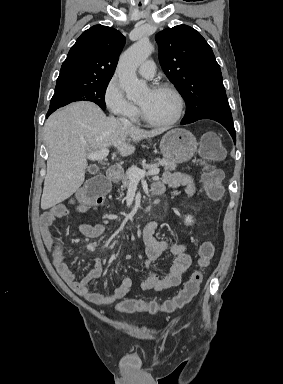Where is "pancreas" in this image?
Returning <instances> with one entry per match:
<instances>
[{
	"mask_svg": "<svg viewBox=\"0 0 283 384\" xmlns=\"http://www.w3.org/2000/svg\"><path fill=\"white\" fill-rule=\"evenodd\" d=\"M152 168H158V166H164V172H172V170H176L177 166L176 164H172V162H168V160H154V164H149ZM119 170V178L123 184L122 188H128L131 180L129 178V170L127 172H124L123 168L121 166H116ZM133 168H137V166H133ZM112 182H115V180H112ZM123 194H120V198H122Z\"/></svg>",
	"mask_w": 283,
	"mask_h": 384,
	"instance_id": "1",
	"label": "pancreas"
}]
</instances>
